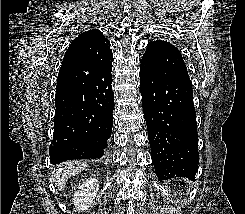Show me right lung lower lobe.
<instances>
[{"label": "right lung lower lobe", "instance_id": "1", "mask_svg": "<svg viewBox=\"0 0 245 214\" xmlns=\"http://www.w3.org/2000/svg\"><path fill=\"white\" fill-rule=\"evenodd\" d=\"M112 61L100 65L81 88L74 85V69L68 64L61 66L49 147L51 164L103 156L113 126Z\"/></svg>", "mask_w": 245, "mask_h": 214}]
</instances>
